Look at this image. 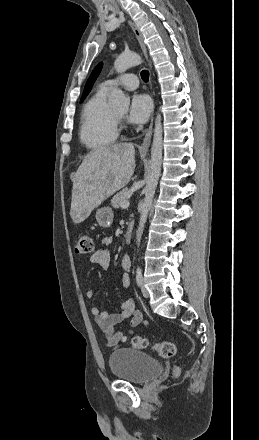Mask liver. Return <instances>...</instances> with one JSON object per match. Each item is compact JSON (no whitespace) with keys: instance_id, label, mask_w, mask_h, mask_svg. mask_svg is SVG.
<instances>
[{"instance_id":"6515ba94","label":"liver","mask_w":259,"mask_h":440,"mask_svg":"<svg viewBox=\"0 0 259 440\" xmlns=\"http://www.w3.org/2000/svg\"><path fill=\"white\" fill-rule=\"evenodd\" d=\"M134 169L135 149L132 143L92 150L73 179L70 215L74 224L83 222L103 201L126 186Z\"/></svg>"}]
</instances>
